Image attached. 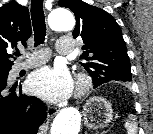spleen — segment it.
I'll use <instances>...</instances> for the list:
<instances>
[{
	"label": "spleen",
	"mask_w": 153,
	"mask_h": 134,
	"mask_svg": "<svg viewBox=\"0 0 153 134\" xmlns=\"http://www.w3.org/2000/svg\"><path fill=\"white\" fill-rule=\"evenodd\" d=\"M124 127L128 134H137V125L134 116H129L126 120Z\"/></svg>",
	"instance_id": "spleen-1"
}]
</instances>
